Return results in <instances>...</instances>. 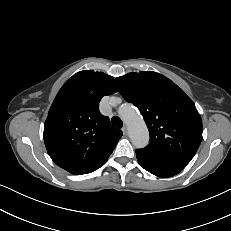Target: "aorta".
Masks as SVG:
<instances>
[{
  "mask_svg": "<svg viewBox=\"0 0 231 231\" xmlns=\"http://www.w3.org/2000/svg\"><path fill=\"white\" fill-rule=\"evenodd\" d=\"M118 113L128 126L133 145L137 148L145 147L149 142V131L140 113L129 104L121 106Z\"/></svg>",
  "mask_w": 231,
  "mask_h": 231,
  "instance_id": "obj_1",
  "label": "aorta"
}]
</instances>
